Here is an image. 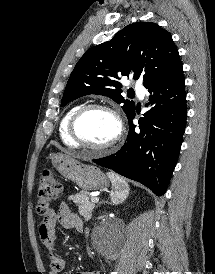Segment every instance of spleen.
I'll use <instances>...</instances> for the list:
<instances>
[{
	"label": "spleen",
	"instance_id": "obj_1",
	"mask_svg": "<svg viewBox=\"0 0 215 274\" xmlns=\"http://www.w3.org/2000/svg\"><path fill=\"white\" fill-rule=\"evenodd\" d=\"M111 183H112V187L113 190L111 191V200L114 204L119 203V201L121 200L123 194H124V190L125 188H129L128 184L126 183V181L120 177L119 175L113 173V172H108L107 173Z\"/></svg>",
	"mask_w": 215,
	"mask_h": 274
}]
</instances>
